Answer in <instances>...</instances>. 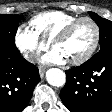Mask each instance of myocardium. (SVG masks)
Returning a JSON list of instances; mask_svg holds the SVG:
<instances>
[{
	"mask_svg": "<svg viewBox=\"0 0 112 112\" xmlns=\"http://www.w3.org/2000/svg\"><path fill=\"white\" fill-rule=\"evenodd\" d=\"M84 21L89 22L93 27V30H94L93 41L91 45L89 46V48L87 49V51L80 58L69 61V63L72 65H81L85 63L92 57V55L96 51L99 41H100V27L98 23L93 18L88 17V16L78 17L72 22L68 23L66 26H64L51 40V47L54 48L58 42L68 37L70 32L74 29V27L77 24H79L80 22H84Z\"/></svg>",
	"mask_w": 112,
	"mask_h": 112,
	"instance_id": "myocardium-1",
	"label": "myocardium"
}]
</instances>
